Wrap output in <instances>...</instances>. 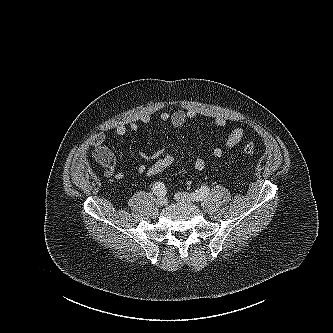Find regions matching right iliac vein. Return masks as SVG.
Listing matches in <instances>:
<instances>
[{
  "label": "right iliac vein",
  "mask_w": 333,
  "mask_h": 333,
  "mask_svg": "<svg viewBox=\"0 0 333 333\" xmlns=\"http://www.w3.org/2000/svg\"><path fill=\"white\" fill-rule=\"evenodd\" d=\"M157 204L160 206H164L167 204V199L164 196H159L157 199Z\"/></svg>",
  "instance_id": "right-iliac-vein-1"
}]
</instances>
